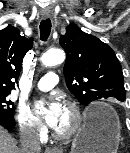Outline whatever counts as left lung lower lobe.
Instances as JSON below:
<instances>
[{"instance_id":"0a47b994","label":"left lung lower lobe","mask_w":130,"mask_h":153,"mask_svg":"<svg viewBox=\"0 0 130 153\" xmlns=\"http://www.w3.org/2000/svg\"><path fill=\"white\" fill-rule=\"evenodd\" d=\"M119 101L124 102L125 100H124V99H121V100H119Z\"/></svg>"}]
</instances>
